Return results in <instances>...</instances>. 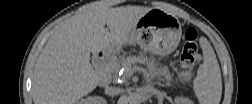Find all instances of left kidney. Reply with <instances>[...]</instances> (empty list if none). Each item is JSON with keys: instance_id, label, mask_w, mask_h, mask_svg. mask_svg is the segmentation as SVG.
Wrapping results in <instances>:
<instances>
[{"instance_id": "left-kidney-1", "label": "left kidney", "mask_w": 252, "mask_h": 104, "mask_svg": "<svg viewBox=\"0 0 252 104\" xmlns=\"http://www.w3.org/2000/svg\"><path fill=\"white\" fill-rule=\"evenodd\" d=\"M175 103L186 104V103H189V101L187 99L178 97V98L175 99Z\"/></svg>"}]
</instances>
